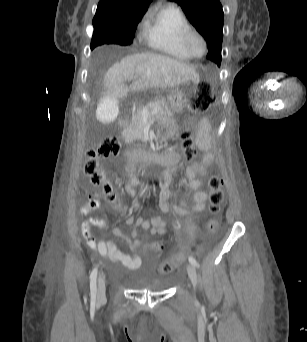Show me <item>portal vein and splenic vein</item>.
<instances>
[{"label":"portal vein and splenic vein","mask_w":307,"mask_h":342,"mask_svg":"<svg viewBox=\"0 0 307 342\" xmlns=\"http://www.w3.org/2000/svg\"><path fill=\"white\" fill-rule=\"evenodd\" d=\"M157 113V110H152L151 114H156ZM144 117L145 118H148L149 117V114L148 113H145L144 114Z\"/></svg>","instance_id":"obj_1"}]
</instances>
